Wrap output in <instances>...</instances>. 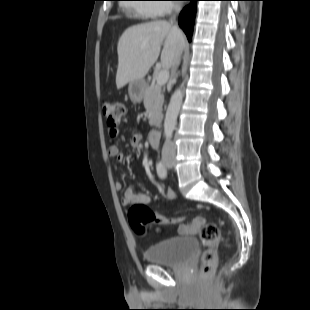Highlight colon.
Segmentation results:
<instances>
[{"label": "colon", "instance_id": "5ec220e1", "mask_svg": "<svg viewBox=\"0 0 310 310\" xmlns=\"http://www.w3.org/2000/svg\"><path fill=\"white\" fill-rule=\"evenodd\" d=\"M103 114L109 127H117L124 113V106L119 102H105ZM129 224L138 234L144 233V227L148 223L176 224L184 220L178 216H168L152 211L143 203L131 205L128 211ZM196 226L199 228V237L205 247L202 254V274L209 275L215 267L218 259V246L220 244V230L217 224L198 219Z\"/></svg>", "mask_w": 310, "mask_h": 310}]
</instances>
